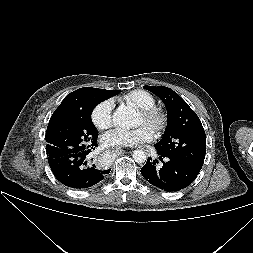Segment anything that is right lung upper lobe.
Masks as SVG:
<instances>
[{"mask_svg": "<svg viewBox=\"0 0 253 253\" xmlns=\"http://www.w3.org/2000/svg\"><path fill=\"white\" fill-rule=\"evenodd\" d=\"M84 88H80L72 93H70L69 95H67L64 100L62 101V103L60 104V106L55 110V112L53 113V115H57V114H60V113H63L64 111H66L72 100L77 97V95L83 90ZM107 95H111L112 96H115V93L118 91V90H105V89H102ZM110 98V97H109Z\"/></svg>", "mask_w": 253, "mask_h": 253, "instance_id": "right-lung-upper-lobe-1", "label": "right lung upper lobe"}]
</instances>
